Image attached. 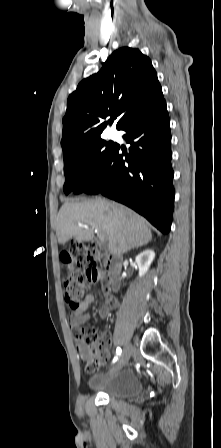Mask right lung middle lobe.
Segmentation results:
<instances>
[{
	"mask_svg": "<svg viewBox=\"0 0 221 448\" xmlns=\"http://www.w3.org/2000/svg\"><path fill=\"white\" fill-rule=\"evenodd\" d=\"M117 145L102 138L93 140L77 153L64 159V192L78 194L102 173Z\"/></svg>",
	"mask_w": 221,
	"mask_h": 448,
	"instance_id": "dd1d6c3e",
	"label": "right lung middle lobe"
}]
</instances>
